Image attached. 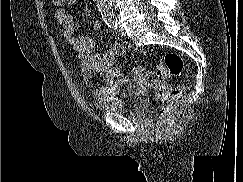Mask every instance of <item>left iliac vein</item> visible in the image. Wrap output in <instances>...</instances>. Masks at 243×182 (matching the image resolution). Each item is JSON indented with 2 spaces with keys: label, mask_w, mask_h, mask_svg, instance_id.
<instances>
[{
  "label": "left iliac vein",
  "mask_w": 243,
  "mask_h": 182,
  "mask_svg": "<svg viewBox=\"0 0 243 182\" xmlns=\"http://www.w3.org/2000/svg\"><path fill=\"white\" fill-rule=\"evenodd\" d=\"M119 33H120L121 36H126V32L123 28L119 29Z\"/></svg>",
  "instance_id": "obj_1"
}]
</instances>
